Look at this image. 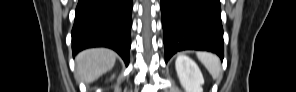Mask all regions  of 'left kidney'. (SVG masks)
<instances>
[{
    "label": "left kidney",
    "mask_w": 296,
    "mask_h": 92,
    "mask_svg": "<svg viewBox=\"0 0 296 92\" xmlns=\"http://www.w3.org/2000/svg\"><path fill=\"white\" fill-rule=\"evenodd\" d=\"M175 68L182 87L186 92H203V75L197 64L185 55H179Z\"/></svg>",
    "instance_id": "obj_1"
}]
</instances>
